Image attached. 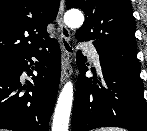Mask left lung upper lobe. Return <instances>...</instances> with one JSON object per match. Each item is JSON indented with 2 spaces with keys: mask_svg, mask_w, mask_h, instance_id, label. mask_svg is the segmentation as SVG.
Returning a JSON list of instances; mask_svg holds the SVG:
<instances>
[{
  "mask_svg": "<svg viewBox=\"0 0 147 131\" xmlns=\"http://www.w3.org/2000/svg\"><path fill=\"white\" fill-rule=\"evenodd\" d=\"M66 7L86 14L78 41H92L99 57L140 74L135 20L129 0H66Z\"/></svg>",
  "mask_w": 147,
  "mask_h": 131,
  "instance_id": "obj_1",
  "label": "left lung upper lobe"
}]
</instances>
